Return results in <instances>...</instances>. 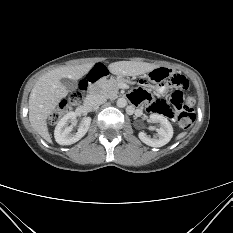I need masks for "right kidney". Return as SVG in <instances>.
<instances>
[{
    "instance_id": "1",
    "label": "right kidney",
    "mask_w": 233,
    "mask_h": 233,
    "mask_svg": "<svg viewBox=\"0 0 233 233\" xmlns=\"http://www.w3.org/2000/svg\"><path fill=\"white\" fill-rule=\"evenodd\" d=\"M77 114L75 112H69L64 115L58 122L54 130V137L60 145H71L79 141L88 131L91 124V118H83L78 131L72 134L73 126L76 123ZM71 123L70 126L68 124Z\"/></svg>"
}]
</instances>
